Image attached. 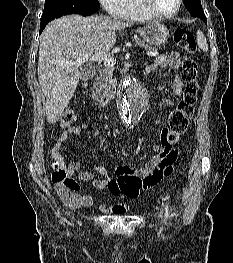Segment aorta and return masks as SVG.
Instances as JSON below:
<instances>
[{
    "instance_id": "obj_1",
    "label": "aorta",
    "mask_w": 233,
    "mask_h": 263,
    "mask_svg": "<svg viewBox=\"0 0 233 263\" xmlns=\"http://www.w3.org/2000/svg\"><path fill=\"white\" fill-rule=\"evenodd\" d=\"M146 104L147 91L144 85L131 76H124L119 94V107L126 124L137 122Z\"/></svg>"
}]
</instances>
